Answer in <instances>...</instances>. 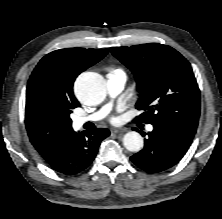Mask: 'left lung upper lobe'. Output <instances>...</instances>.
<instances>
[{
    "label": "left lung upper lobe",
    "instance_id": "1",
    "mask_svg": "<svg viewBox=\"0 0 222 219\" xmlns=\"http://www.w3.org/2000/svg\"><path fill=\"white\" fill-rule=\"evenodd\" d=\"M111 53L134 74L140 98L135 120L152 125L171 124L196 133L200 90L190 63L170 46L149 43L113 47Z\"/></svg>",
    "mask_w": 222,
    "mask_h": 219
}]
</instances>
